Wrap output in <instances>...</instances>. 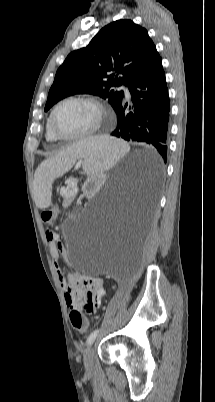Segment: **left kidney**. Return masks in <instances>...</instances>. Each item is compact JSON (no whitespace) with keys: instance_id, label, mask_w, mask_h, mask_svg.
Here are the masks:
<instances>
[{"instance_id":"left-kidney-1","label":"left kidney","mask_w":215,"mask_h":402,"mask_svg":"<svg viewBox=\"0 0 215 402\" xmlns=\"http://www.w3.org/2000/svg\"><path fill=\"white\" fill-rule=\"evenodd\" d=\"M105 176V171L103 169H98L93 175H89L86 179V184L82 186V191L84 193H96L98 187L103 186V177Z\"/></svg>"}]
</instances>
